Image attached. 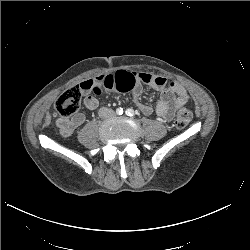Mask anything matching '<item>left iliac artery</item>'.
<instances>
[{
	"mask_svg": "<svg viewBox=\"0 0 250 250\" xmlns=\"http://www.w3.org/2000/svg\"><path fill=\"white\" fill-rule=\"evenodd\" d=\"M125 113H126V115L127 116H130V117H134L135 116V112H134V110L133 109H127L126 111H125Z\"/></svg>",
	"mask_w": 250,
	"mask_h": 250,
	"instance_id": "left-iliac-artery-1",
	"label": "left iliac artery"
}]
</instances>
